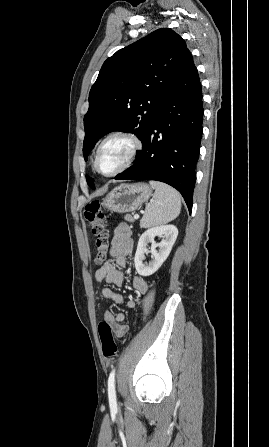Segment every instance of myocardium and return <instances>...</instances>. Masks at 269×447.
I'll return each mask as SVG.
<instances>
[{
	"mask_svg": "<svg viewBox=\"0 0 269 447\" xmlns=\"http://www.w3.org/2000/svg\"><path fill=\"white\" fill-rule=\"evenodd\" d=\"M115 137H126V138L130 139L132 141V143H133L132 149H131V151L129 153V156H128L127 160L120 167H118L117 169H115L113 171H110V172H102L99 169V155H100V152H101L103 146L109 140H111V139H113ZM142 147H143V141L140 138V136L137 135L136 133H133V132H130V131H126V130L114 131V132L108 134L101 141L100 145L97 148L96 155H95V167H96V170L100 174H102L104 176H112V175H115V174H117L119 172H122V171H124V170H126V169H128L129 167L132 166V164L135 162L139 152L141 151Z\"/></svg>",
	"mask_w": 269,
	"mask_h": 447,
	"instance_id": "f54148a6",
	"label": "myocardium"
}]
</instances>
